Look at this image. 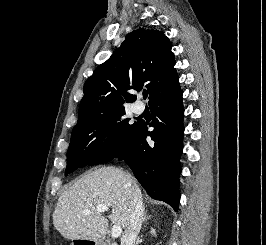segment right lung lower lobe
Listing matches in <instances>:
<instances>
[{"instance_id":"right-lung-lower-lobe-1","label":"right lung lower lobe","mask_w":266,"mask_h":245,"mask_svg":"<svg viewBox=\"0 0 266 245\" xmlns=\"http://www.w3.org/2000/svg\"><path fill=\"white\" fill-rule=\"evenodd\" d=\"M149 106L152 122L146 124L138 121L131 144L116 157L125 160L152 198L164 201L178 211L179 159L184 134V109L179 82L155 96L149 101ZM148 126L154 129L148 131ZM147 136L154 142L149 144Z\"/></svg>"}]
</instances>
